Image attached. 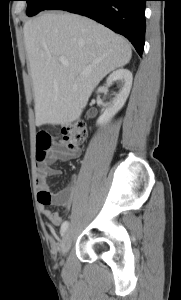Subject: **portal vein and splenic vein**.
<instances>
[{
	"instance_id": "18ae733b",
	"label": "portal vein and splenic vein",
	"mask_w": 181,
	"mask_h": 300,
	"mask_svg": "<svg viewBox=\"0 0 181 300\" xmlns=\"http://www.w3.org/2000/svg\"><path fill=\"white\" fill-rule=\"evenodd\" d=\"M61 63H62V65H63L64 67H67V66H68V62L65 61V60H61Z\"/></svg>"
}]
</instances>
